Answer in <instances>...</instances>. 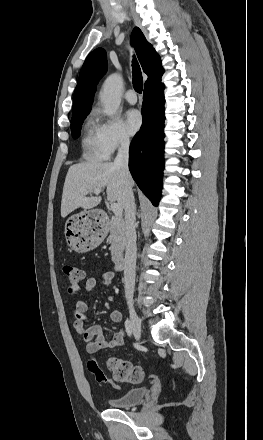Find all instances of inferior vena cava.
I'll return each mask as SVG.
<instances>
[{
	"mask_svg": "<svg viewBox=\"0 0 263 440\" xmlns=\"http://www.w3.org/2000/svg\"><path fill=\"white\" fill-rule=\"evenodd\" d=\"M129 138H121L114 166L120 169L123 183L121 204L125 210V258H124V288L127 299H132L136 277V231H135V200L131 185V175L128 168Z\"/></svg>",
	"mask_w": 263,
	"mask_h": 440,
	"instance_id": "1",
	"label": "inferior vena cava"
}]
</instances>
